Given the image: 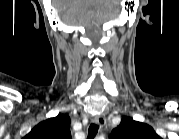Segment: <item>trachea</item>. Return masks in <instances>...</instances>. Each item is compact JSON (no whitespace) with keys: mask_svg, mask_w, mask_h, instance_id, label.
<instances>
[{"mask_svg":"<svg viewBox=\"0 0 179 139\" xmlns=\"http://www.w3.org/2000/svg\"><path fill=\"white\" fill-rule=\"evenodd\" d=\"M98 129H99V126L97 124H94L92 123L90 126H89V129H88V139H94V137L96 136V134L98 133Z\"/></svg>","mask_w":179,"mask_h":139,"instance_id":"trachea-1","label":"trachea"}]
</instances>
